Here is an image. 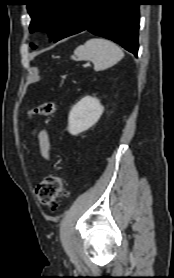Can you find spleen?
Instances as JSON below:
<instances>
[{"label": "spleen", "instance_id": "spleen-1", "mask_svg": "<svg viewBox=\"0 0 174 278\" xmlns=\"http://www.w3.org/2000/svg\"><path fill=\"white\" fill-rule=\"evenodd\" d=\"M124 57L122 49L110 40L92 38L78 46L72 58L74 60L91 61L95 71L105 70Z\"/></svg>", "mask_w": 174, "mask_h": 278}]
</instances>
